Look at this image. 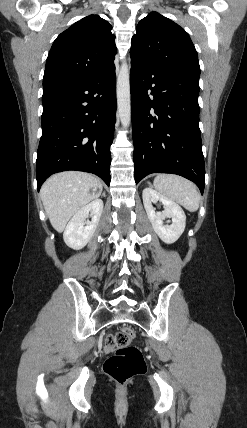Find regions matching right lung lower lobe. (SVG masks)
I'll return each mask as SVG.
<instances>
[{"instance_id": "right-lung-lower-lobe-1", "label": "right lung lower lobe", "mask_w": 247, "mask_h": 428, "mask_svg": "<svg viewBox=\"0 0 247 428\" xmlns=\"http://www.w3.org/2000/svg\"><path fill=\"white\" fill-rule=\"evenodd\" d=\"M37 189L52 174L78 170L110 185V145L116 122L114 63L87 79L43 90Z\"/></svg>"}]
</instances>
